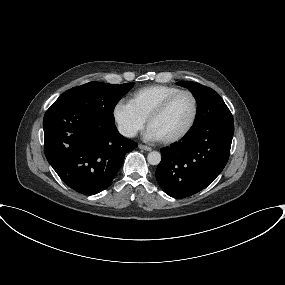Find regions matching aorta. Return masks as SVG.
Here are the masks:
<instances>
[{
  "mask_svg": "<svg viewBox=\"0 0 285 285\" xmlns=\"http://www.w3.org/2000/svg\"><path fill=\"white\" fill-rule=\"evenodd\" d=\"M147 160L151 165H158L161 161V154L157 151H152L148 154Z\"/></svg>",
  "mask_w": 285,
  "mask_h": 285,
  "instance_id": "1",
  "label": "aorta"
}]
</instances>
